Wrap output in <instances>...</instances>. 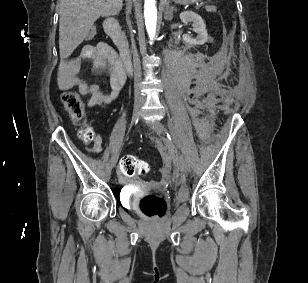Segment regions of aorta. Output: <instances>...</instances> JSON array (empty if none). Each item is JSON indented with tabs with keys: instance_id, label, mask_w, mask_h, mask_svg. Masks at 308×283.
I'll use <instances>...</instances> for the list:
<instances>
[{
	"instance_id": "762f6f07",
	"label": "aorta",
	"mask_w": 308,
	"mask_h": 283,
	"mask_svg": "<svg viewBox=\"0 0 308 283\" xmlns=\"http://www.w3.org/2000/svg\"><path fill=\"white\" fill-rule=\"evenodd\" d=\"M144 17L146 30L150 40H153L156 35V22H157V8L155 0H145L144 3Z\"/></svg>"
}]
</instances>
